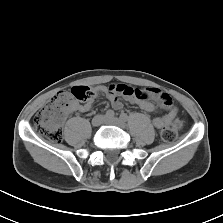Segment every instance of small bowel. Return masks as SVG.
Wrapping results in <instances>:
<instances>
[{"label": "small bowel", "instance_id": "small-bowel-1", "mask_svg": "<svg viewBox=\"0 0 223 223\" xmlns=\"http://www.w3.org/2000/svg\"><path fill=\"white\" fill-rule=\"evenodd\" d=\"M128 85L125 84H113L108 88L106 87H96L95 91L97 93L105 95L111 103V106L115 110H120L123 107V104L119 98L120 95L124 96V98L132 105H138L141 109L147 112H152L155 110L156 106L153 102L148 100L147 98L140 99L136 96L127 95L124 93L127 89H130ZM141 90V89H140ZM146 94V96L151 97L156 100L158 105L161 108L166 109L168 112L163 117H155L152 120L153 125L157 129L163 128V126L167 123H173L177 126H180L181 122L177 118V108L173 105L172 98L167 93L160 92L157 88L149 87L145 90H141ZM91 108V102H86L84 104H74L72 110L79 112H87Z\"/></svg>", "mask_w": 223, "mask_h": 223}]
</instances>
